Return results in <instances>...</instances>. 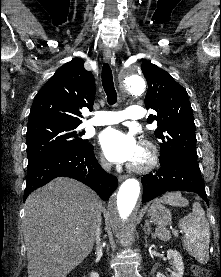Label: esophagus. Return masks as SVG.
Instances as JSON below:
<instances>
[{
    "instance_id": "obj_1",
    "label": "esophagus",
    "mask_w": 221,
    "mask_h": 277,
    "mask_svg": "<svg viewBox=\"0 0 221 277\" xmlns=\"http://www.w3.org/2000/svg\"><path fill=\"white\" fill-rule=\"evenodd\" d=\"M111 59V51L110 50H105L104 51V61L108 62ZM128 176L127 175H119L118 180L121 182L125 180Z\"/></svg>"
}]
</instances>
